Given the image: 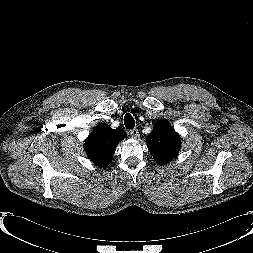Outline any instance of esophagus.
I'll return each instance as SVG.
<instances>
[{
  "mask_svg": "<svg viewBox=\"0 0 253 253\" xmlns=\"http://www.w3.org/2000/svg\"><path fill=\"white\" fill-rule=\"evenodd\" d=\"M130 135L132 138H138L139 137V132H138V129L134 128L132 130H130Z\"/></svg>",
  "mask_w": 253,
  "mask_h": 253,
  "instance_id": "obj_1",
  "label": "esophagus"
}]
</instances>
